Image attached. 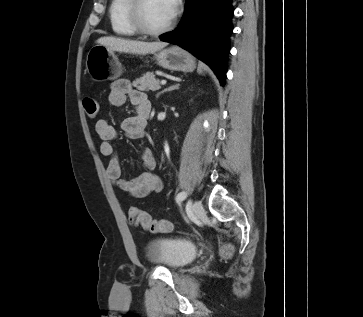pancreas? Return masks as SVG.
Returning a JSON list of instances; mask_svg holds the SVG:
<instances>
[{
    "label": "pancreas",
    "mask_w": 363,
    "mask_h": 317,
    "mask_svg": "<svg viewBox=\"0 0 363 317\" xmlns=\"http://www.w3.org/2000/svg\"><path fill=\"white\" fill-rule=\"evenodd\" d=\"M132 85L141 91H156L160 88L159 79L155 78L153 72H147L142 77L134 80Z\"/></svg>",
    "instance_id": "cf45deb5"
}]
</instances>
